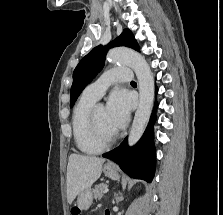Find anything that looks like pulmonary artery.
<instances>
[{
  "mask_svg": "<svg viewBox=\"0 0 223 215\" xmlns=\"http://www.w3.org/2000/svg\"><path fill=\"white\" fill-rule=\"evenodd\" d=\"M129 78H132V69H127L126 65H117L116 69H106V73L88 85L83 94L98 100L112 84L117 82L129 83Z\"/></svg>",
  "mask_w": 223,
  "mask_h": 215,
  "instance_id": "1",
  "label": "pulmonary artery"
}]
</instances>
